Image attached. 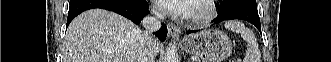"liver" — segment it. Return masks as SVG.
Returning <instances> with one entry per match:
<instances>
[{
	"instance_id": "1",
	"label": "liver",
	"mask_w": 331,
	"mask_h": 62,
	"mask_svg": "<svg viewBox=\"0 0 331 62\" xmlns=\"http://www.w3.org/2000/svg\"><path fill=\"white\" fill-rule=\"evenodd\" d=\"M141 35L135 24L119 14L103 9L85 11L68 27L63 62H135ZM159 49L154 42V57Z\"/></svg>"
}]
</instances>
